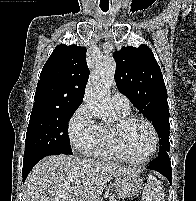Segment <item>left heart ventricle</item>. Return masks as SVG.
<instances>
[{
    "label": "left heart ventricle",
    "mask_w": 196,
    "mask_h": 201,
    "mask_svg": "<svg viewBox=\"0 0 196 201\" xmlns=\"http://www.w3.org/2000/svg\"><path fill=\"white\" fill-rule=\"evenodd\" d=\"M125 145L133 158L145 157L152 148V134L149 127L140 121L131 124L125 132Z\"/></svg>",
    "instance_id": "obj_1"
}]
</instances>
